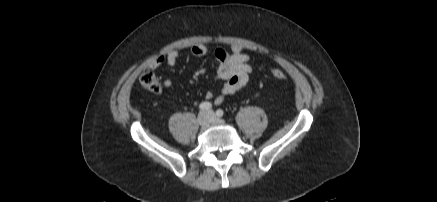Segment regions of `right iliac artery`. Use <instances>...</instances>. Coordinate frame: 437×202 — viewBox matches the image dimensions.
Here are the masks:
<instances>
[{
	"mask_svg": "<svg viewBox=\"0 0 437 202\" xmlns=\"http://www.w3.org/2000/svg\"><path fill=\"white\" fill-rule=\"evenodd\" d=\"M211 107H212V104H211L210 102H202V103L199 105V109H200L201 111L209 110V109H211Z\"/></svg>",
	"mask_w": 437,
	"mask_h": 202,
	"instance_id": "82829eb1",
	"label": "right iliac artery"
}]
</instances>
